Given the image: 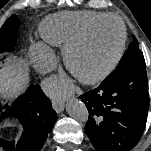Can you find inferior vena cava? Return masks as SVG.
<instances>
[{"mask_svg":"<svg viewBox=\"0 0 151 151\" xmlns=\"http://www.w3.org/2000/svg\"><path fill=\"white\" fill-rule=\"evenodd\" d=\"M43 68L45 72L52 71L56 68L57 66V61L54 56H49L46 58L43 62Z\"/></svg>","mask_w":151,"mask_h":151,"instance_id":"1","label":"inferior vena cava"}]
</instances>
